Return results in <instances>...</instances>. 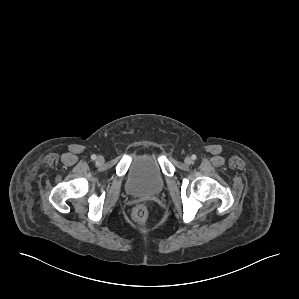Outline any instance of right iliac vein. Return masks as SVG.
<instances>
[{
  "label": "right iliac vein",
  "mask_w": 299,
  "mask_h": 299,
  "mask_svg": "<svg viewBox=\"0 0 299 299\" xmlns=\"http://www.w3.org/2000/svg\"><path fill=\"white\" fill-rule=\"evenodd\" d=\"M96 162L98 164H103L104 163V157L103 156H98L97 159H96Z\"/></svg>",
  "instance_id": "obj_1"
}]
</instances>
